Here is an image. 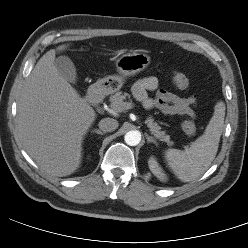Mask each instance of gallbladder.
Instances as JSON below:
<instances>
[{"label":"gallbladder","mask_w":248,"mask_h":248,"mask_svg":"<svg viewBox=\"0 0 248 248\" xmlns=\"http://www.w3.org/2000/svg\"><path fill=\"white\" fill-rule=\"evenodd\" d=\"M58 73L68 82L75 83L77 79L76 68L72 60L67 56H59L54 60Z\"/></svg>","instance_id":"gallbladder-1"}]
</instances>
